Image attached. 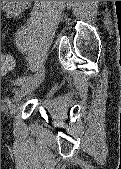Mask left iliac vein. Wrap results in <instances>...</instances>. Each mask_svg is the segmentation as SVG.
Returning <instances> with one entry per match:
<instances>
[{
	"instance_id": "obj_1",
	"label": "left iliac vein",
	"mask_w": 121,
	"mask_h": 169,
	"mask_svg": "<svg viewBox=\"0 0 121 169\" xmlns=\"http://www.w3.org/2000/svg\"><path fill=\"white\" fill-rule=\"evenodd\" d=\"M44 75H39L36 76L35 78H33L31 81H29L28 83H26L25 85H22L17 91H16V103L23 98L25 95H27L28 93L32 92L33 90H35V88H37L38 86H40L43 82V77Z\"/></svg>"
}]
</instances>
